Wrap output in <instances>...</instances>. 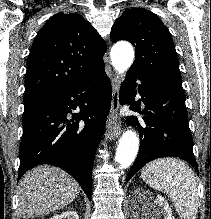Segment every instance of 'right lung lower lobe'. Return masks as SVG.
Listing matches in <instances>:
<instances>
[{"label": "right lung lower lobe", "mask_w": 211, "mask_h": 219, "mask_svg": "<svg viewBox=\"0 0 211 219\" xmlns=\"http://www.w3.org/2000/svg\"><path fill=\"white\" fill-rule=\"evenodd\" d=\"M111 99V83L102 68L59 94L25 107L18 180L39 164L58 166L71 174L91 199L95 150L104 134ZM77 108L80 113L68 120L67 114ZM81 119L84 127L79 126Z\"/></svg>", "instance_id": "98d812e1"}]
</instances>
